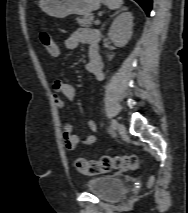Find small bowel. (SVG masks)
<instances>
[{
    "instance_id": "small-bowel-1",
    "label": "small bowel",
    "mask_w": 188,
    "mask_h": 213,
    "mask_svg": "<svg viewBox=\"0 0 188 213\" xmlns=\"http://www.w3.org/2000/svg\"><path fill=\"white\" fill-rule=\"evenodd\" d=\"M100 33L93 28H77L65 41V47L68 50L76 49L80 44H87L89 60L86 64V71L95 76L99 81L104 79L103 63L99 54ZM62 96L68 100L76 98V90L73 85L58 80L53 84L52 101L57 109H64ZM88 128L92 132L84 138L72 133V127L69 122L63 124L62 135L65 147L68 150H74L79 145L90 146L95 143L96 137L93 134L97 129L94 121L88 123Z\"/></svg>"
}]
</instances>
